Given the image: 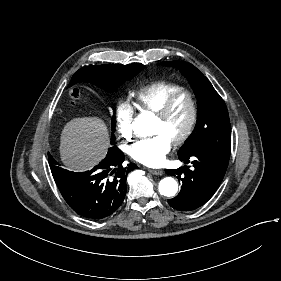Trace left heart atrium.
Here are the masks:
<instances>
[{
	"mask_svg": "<svg viewBox=\"0 0 281 281\" xmlns=\"http://www.w3.org/2000/svg\"><path fill=\"white\" fill-rule=\"evenodd\" d=\"M171 149V140L159 133L141 140L131 147V157L146 166L158 167L165 162L166 155Z\"/></svg>",
	"mask_w": 281,
	"mask_h": 281,
	"instance_id": "1",
	"label": "left heart atrium"
}]
</instances>
